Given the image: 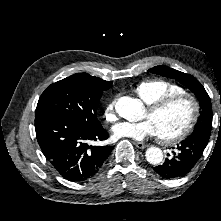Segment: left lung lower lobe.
Masks as SVG:
<instances>
[{"mask_svg":"<svg viewBox=\"0 0 221 221\" xmlns=\"http://www.w3.org/2000/svg\"><path fill=\"white\" fill-rule=\"evenodd\" d=\"M209 137L208 131L192 133L180 145H177L171 157L166 158L162 165L154 167V170L166 179L184 177L202 156Z\"/></svg>","mask_w":221,"mask_h":221,"instance_id":"1","label":"left lung lower lobe"}]
</instances>
